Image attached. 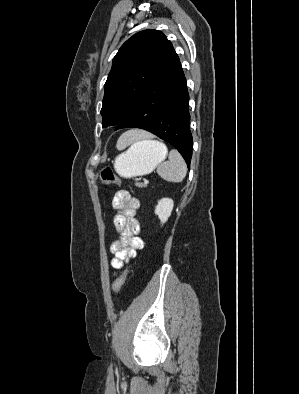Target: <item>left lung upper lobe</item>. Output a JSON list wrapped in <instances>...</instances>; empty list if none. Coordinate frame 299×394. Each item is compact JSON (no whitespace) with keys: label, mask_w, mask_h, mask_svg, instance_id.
<instances>
[{"label":"left lung upper lobe","mask_w":299,"mask_h":394,"mask_svg":"<svg viewBox=\"0 0 299 394\" xmlns=\"http://www.w3.org/2000/svg\"><path fill=\"white\" fill-rule=\"evenodd\" d=\"M177 59L160 31L144 30L129 38L113 58L104 85L102 127L121 123L151 83Z\"/></svg>","instance_id":"5c2ea615"}]
</instances>
